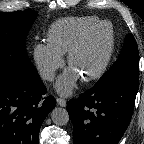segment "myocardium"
<instances>
[{
    "label": "myocardium",
    "instance_id": "1",
    "mask_svg": "<svg viewBox=\"0 0 144 144\" xmlns=\"http://www.w3.org/2000/svg\"><path fill=\"white\" fill-rule=\"evenodd\" d=\"M103 26H109L110 28V36H109V43L108 48L106 51V54L100 63V65L91 73L81 76V80L84 82H91L98 78H100L106 71L110 60L113 56L114 50H115V32L112 24L107 21H100L94 26L88 28L85 30L70 46L68 52H67V63L71 67L73 59L76 55V53L81 49V47L85 44V42L88 40V38L97 30L102 28Z\"/></svg>",
    "mask_w": 144,
    "mask_h": 144
}]
</instances>
